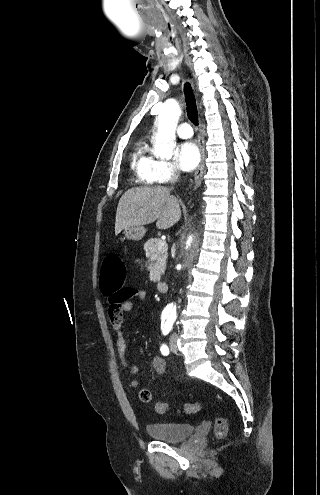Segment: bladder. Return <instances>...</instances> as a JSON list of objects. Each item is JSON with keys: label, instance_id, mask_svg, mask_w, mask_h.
Listing matches in <instances>:
<instances>
[{"label": "bladder", "instance_id": "1", "mask_svg": "<svg viewBox=\"0 0 320 495\" xmlns=\"http://www.w3.org/2000/svg\"><path fill=\"white\" fill-rule=\"evenodd\" d=\"M146 429L157 440L179 442L191 436L195 427L191 423L156 422L148 424Z\"/></svg>", "mask_w": 320, "mask_h": 495}]
</instances>
